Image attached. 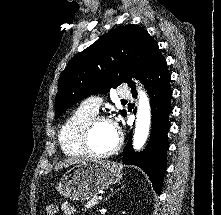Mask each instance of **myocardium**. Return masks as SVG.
I'll list each match as a JSON object with an SVG mask.
<instances>
[{
	"label": "myocardium",
	"mask_w": 221,
	"mask_h": 215,
	"mask_svg": "<svg viewBox=\"0 0 221 215\" xmlns=\"http://www.w3.org/2000/svg\"><path fill=\"white\" fill-rule=\"evenodd\" d=\"M99 122H109L114 125L112 120L109 119L108 117L103 116V115H94L86 122V124L82 130L81 145L87 154H89L93 157H97V158H105V157H109V156L114 155L115 153H117L120 150V148L123 144V136H122L121 132L118 131L117 142L108 151L98 152V151L94 150L91 145V134L93 132L95 125Z\"/></svg>",
	"instance_id": "obj_1"
}]
</instances>
